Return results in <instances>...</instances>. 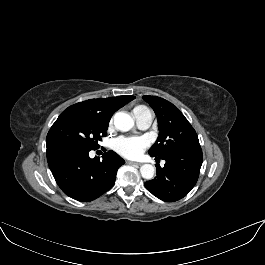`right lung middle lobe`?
I'll use <instances>...</instances> for the list:
<instances>
[{"label": "right lung middle lobe", "instance_id": "obj_1", "mask_svg": "<svg viewBox=\"0 0 265 265\" xmlns=\"http://www.w3.org/2000/svg\"><path fill=\"white\" fill-rule=\"evenodd\" d=\"M108 123L90 112L64 110L47 134V151L97 149L98 141L106 136Z\"/></svg>", "mask_w": 265, "mask_h": 265}]
</instances>
